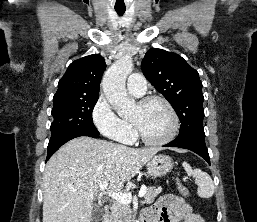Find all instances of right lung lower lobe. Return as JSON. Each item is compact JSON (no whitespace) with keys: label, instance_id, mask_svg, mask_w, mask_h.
I'll list each match as a JSON object with an SVG mask.
<instances>
[{"label":"right lung lower lobe","instance_id":"obj_1","mask_svg":"<svg viewBox=\"0 0 257 222\" xmlns=\"http://www.w3.org/2000/svg\"><path fill=\"white\" fill-rule=\"evenodd\" d=\"M79 136H89L93 138H100V136L96 135H87V134H71L64 137H61L55 141L49 142L47 147V158L46 161L61 147L63 144H65L67 141L79 137Z\"/></svg>","mask_w":257,"mask_h":222}]
</instances>
